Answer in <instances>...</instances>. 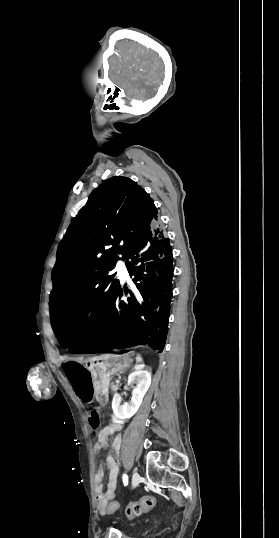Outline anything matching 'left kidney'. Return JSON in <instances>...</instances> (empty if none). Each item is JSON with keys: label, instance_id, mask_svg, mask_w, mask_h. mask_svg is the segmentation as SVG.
I'll return each mask as SVG.
<instances>
[{"label": "left kidney", "instance_id": "1", "mask_svg": "<svg viewBox=\"0 0 279 538\" xmlns=\"http://www.w3.org/2000/svg\"><path fill=\"white\" fill-rule=\"evenodd\" d=\"M129 384H136L133 388L131 402L129 404H121L122 398L120 394H114L112 400V410L120 420H127L136 414L142 400L151 384V372L136 368L135 372L128 376Z\"/></svg>", "mask_w": 279, "mask_h": 538}]
</instances>
